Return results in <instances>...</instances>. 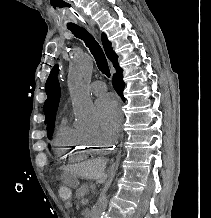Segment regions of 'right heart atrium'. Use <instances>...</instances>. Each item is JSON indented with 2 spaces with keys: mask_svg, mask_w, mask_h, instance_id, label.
I'll list each match as a JSON object with an SVG mask.
<instances>
[{
  "mask_svg": "<svg viewBox=\"0 0 211 218\" xmlns=\"http://www.w3.org/2000/svg\"><path fill=\"white\" fill-rule=\"evenodd\" d=\"M87 137L98 144H109L110 140L109 138L102 132L95 130V131H91V132H86Z\"/></svg>",
  "mask_w": 211,
  "mask_h": 218,
  "instance_id": "1",
  "label": "right heart atrium"
}]
</instances>
